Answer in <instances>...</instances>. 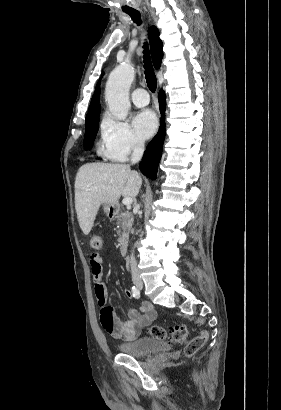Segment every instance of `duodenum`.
<instances>
[{"label": "duodenum", "mask_w": 281, "mask_h": 410, "mask_svg": "<svg viewBox=\"0 0 281 410\" xmlns=\"http://www.w3.org/2000/svg\"><path fill=\"white\" fill-rule=\"evenodd\" d=\"M127 245H128V240L127 238H121L119 240V251L121 255H126L127 254Z\"/></svg>", "instance_id": "duodenum-1"}]
</instances>
